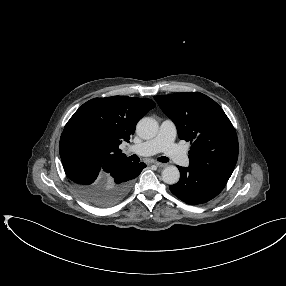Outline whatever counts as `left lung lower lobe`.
Masks as SVG:
<instances>
[{"label":"left lung lower lobe","instance_id":"1","mask_svg":"<svg viewBox=\"0 0 286 286\" xmlns=\"http://www.w3.org/2000/svg\"><path fill=\"white\" fill-rule=\"evenodd\" d=\"M177 167L180 180L169 188L175 196L190 205L208 202L216 197L227 183V179L202 169L191 166Z\"/></svg>","mask_w":286,"mask_h":286}]
</instances>
